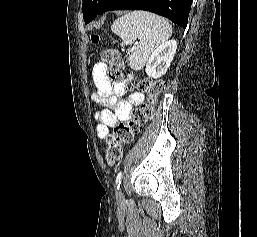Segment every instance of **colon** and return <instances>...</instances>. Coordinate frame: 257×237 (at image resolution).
<instances>
[{
    "label": "colon",
    "instance_id": "obj_1",
    "mask_svg": "<svg viewBox=\"0 0 257 237\" xmlns=\"http://www.w3.org/2000/svg\"><path fill=\"white\" fill-rule=\"evenodd\" d=\"M93 43H98L100 38L97 34L91 36ZM102 59L109 64L107 70L108 78L114 84L123 82L122 63L119 53L115 50L104 48ZM140 90L147 94V100L134 112L133 116L113 127V132L107 137L105 157L107 163L112 166L123 157V146L130 144L135 135L139 134L144 125L150 121L155 114V108L159 97L165 89V84L160 80L146 79L140 82Z\"/></svg>",
    "mask_w": 257,
    "mask_h": 237
}]
</instances>
